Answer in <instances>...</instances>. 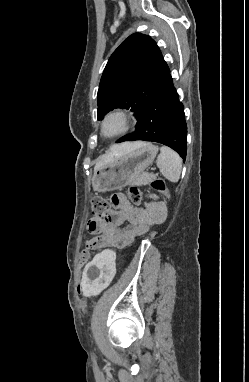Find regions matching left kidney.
<instances>
[{
	"mask_svg": "<svg viewBox=\"0 0 249 382\" xmlns=\"http://www.w3.org/2000/svg\"><path fill=\"white\" fill-rule=\"evenodd\" d=\"M116 255L111 250H98L97 255L85 267L80 277L81 291L79 298H95L96 293H104L110 287L111 281L118 276V267L115 266ZM96 267L98 270H89Z\"/></svg>",
	"mask_w": 249,
	"mask_h": 382,
	"instance_id": "obj_1",
	"label": "left kidney"
}]
</instances>
